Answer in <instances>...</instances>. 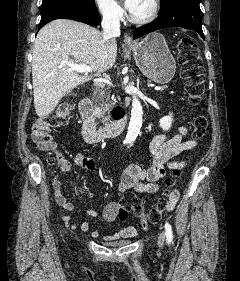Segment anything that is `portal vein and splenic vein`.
<instances>
[{"label":"portal vein and splenic vein","instance_id":"18ae733b","mask_svg":"<svg viewBox=\"0 0 240 281\" xmlns=\"http://www.w3.org/2000/svg\"><path fill=\"white\" fill-rule=\"evenodd\" d=\"M70 70L80 72V73H89L92 72V68L87 66V65H78L74 63H68ZM155 90L159 91L162 90L163 88L160 86H155Z\"/></svg>","mask_w":240,"mask_h":281}]
</instances>
